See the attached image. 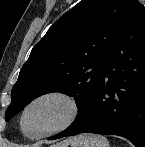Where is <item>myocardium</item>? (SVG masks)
<instances>
[{"mask_svg": "<svg viewBox=\"0 0 145 147\" xmlns=\"http://www.w3.org/2000/svg\"><path fill=\"white\" fill-rule=\"evenodd\" d=\"M51 99L60 100L66 104L68 108V115L66 119L57 127L49 129V130H44L41 132L28 131L25 127V118L28 111L36 104L46 100H51ZM79 113H80L79 102L72 94L63 90H51V91H46L34 96L23 106L19 115L18 124H19V128L21 132L25 136L29 138H33V139H39V138L55 135L66 130L77 120Z\"/></svg>", "mask_w": 145, "mask_h": 147, "instance_id": "1", "label": "myocardium"}]
</instances>
